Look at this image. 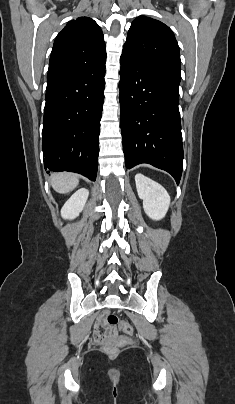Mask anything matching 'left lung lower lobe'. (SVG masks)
Instances as JSON below:
<instances>
[{
    "label": "left lung lower lobe",
    "mask_w": 235,
    "mask_h": 404,
    "mask_svg": "<svg viewBox=\"0 0 235 404\" xmlns=\"http://www.w3.org/2000/svg\"><path fill=\"white\" fill-rule=\"evenodd\" d=\"M120 119L128 169L148 163L170 173L177 184L183 167L178 109L181 78L122 54Z\"/></svg>",
    "instance_id": "obj_1"
}]
</instances>
